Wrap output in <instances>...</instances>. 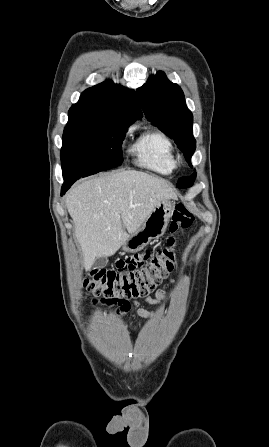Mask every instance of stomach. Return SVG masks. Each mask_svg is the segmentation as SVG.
Wrapping results in <instances>:
<instances>
[{
	"mask_svg": "<svg viewBox=\"0 0 269 447\" xmlns=\"http://www.w3.org/2000/svg\"><path fill=\"white\" fill-rule=\"evenodd\" d=\"M173 210L174 204L170 200H163V202L157 204L151 214L145 218L139 229L131 233L125 243H122V249L124 251H140L145 245H148L151 239L161 237L164 231H166Z\"/></svg>",
	"mask_w": 269,
	"mask_h": 447,
	"instance_id": "1",
	"label": "stomach"
}]
</instances>
